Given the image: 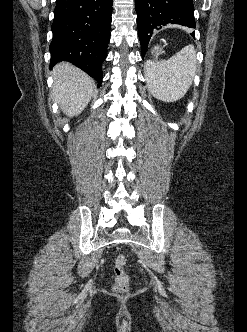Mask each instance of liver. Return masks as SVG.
<instances>
[{"mask_svg": "<svg viewBox=\"0 0 247 332\" xmlns=\"http://www.w3.org/2000/svg\"><path fill=\"white\" fill-rule=\"evenodd\" d=\"M52 74V94L55 101L66 115H79L93 95L94 80L69 63L58 64Z\"/></svg>", "mask_w": 247, "mask_h": 332, "instance_id": "obj_1", "label": "liver"}]
</instances>
